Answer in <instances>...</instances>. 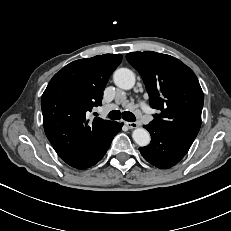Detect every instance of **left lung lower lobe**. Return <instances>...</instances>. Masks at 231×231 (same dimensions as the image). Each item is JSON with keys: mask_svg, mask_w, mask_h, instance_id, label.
Listing matches in <instances>:
<instances>
[{"mask_svg": "<svg viewBox=\"0 0 231 231\" xmlns=\"http://www.w3.org/2000/svg\"><path fill=\"white\" fill-rule=\"evenodd\" d=\"M151 134V142L146 147H140L142 156L152 165L166 169L177 164L188 152L187 144L160 128L148 124L144 126Z\"/></svg>", "mask_w": 231, "mask_h": 231, "instance_id": "0a47b994", "label": "left lung lower lobe"}]
</instances>
